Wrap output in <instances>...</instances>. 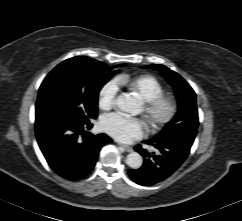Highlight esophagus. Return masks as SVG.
I'll list each match as a JSON object with an SVG mask.
<instances>
[{
    "instance_id": "34e87169",
    "label": "esophagus",
    "mask_w": 242,
    "mask_h": 221,
    "mask_svg": "<svg viewBox=\"0 0 242 221\" xmlns=\"http://www.w3.org/2000/svg\"><path fill=\"white\" fill-rule=\"evenodd\" d=\"M121 148H123L126 152H132L133 148L127 145H119Z\"/></svg>"
}]
</instances>
